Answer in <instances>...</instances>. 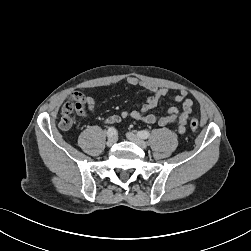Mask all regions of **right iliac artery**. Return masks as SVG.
<instances>
[{"label": "right iliac artery", "instance_id": "1", "mask_svg": "<svg viewBox=\"0 0 251 251\" xmlns=\"http://www.w3.org/2000/svg\"><path fill=\"white\" fill-rule=\"evenodd\" d=\"M115 134H116V129L114 127H110L107 131L108 138L112 137Z\"/></svg>", "mask_w": 251, "mask_h": 251}]
</instances>
